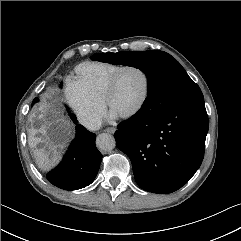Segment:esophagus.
<instances>
[{"mask_svg": "<svg viewBox=\"0 0 241 241\" xmlns=\"http://www.w3.org/2000/svg\"><path fill=\"white\" fill-rule=\"evenodd\" d=\"M116 131V129L114 127H109L105 129V132L107 133H114Z\"/></svg>", "mask_w": 241, "mask_h": 241, "instance_id": "1", "label": "esophagus"}]
</instances>
